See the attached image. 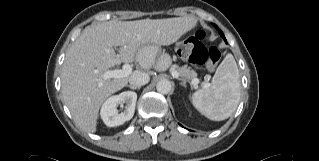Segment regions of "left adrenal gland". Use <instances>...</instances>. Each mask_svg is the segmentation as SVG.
Masks as SVG:
<instances>
[{
  "instance_id": "left-adrenal-gland-1",
  "label": "left adrenal gland",
  "mask_w": 319,
  "mask_h": 161,
  "mask_svg": "<svg viewBox=\"0 0 319 161\" xmlns=\"http://www.w3.org/2000/svg\"><path fill=\"white\" fill-rule=\"evenodd\" d=\"M179 80H182V82H181L182 86H186V80H184V79H179Z\"/></svg>"
}]
</instances>
